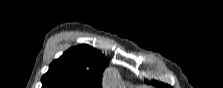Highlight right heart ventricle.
Wrapping results in <instances>:
<instances>
[{
	"mask_svg": "<svg viewBox=\"0 0 223 88\" xmlns=\"http://www.w3.org/2000/svg\"><path fill=\"white\" fill-rule=\"evenodd\" d=\"M137 88H145V87H137Z\"/></svg>",
	"mask_w": 223,
	"mask_h": 88,
	"instance_id": "right-heart-ventricle-1",
	"label": "right heart ventricle"
}]
</instances>
